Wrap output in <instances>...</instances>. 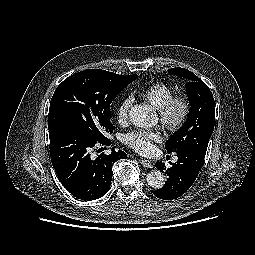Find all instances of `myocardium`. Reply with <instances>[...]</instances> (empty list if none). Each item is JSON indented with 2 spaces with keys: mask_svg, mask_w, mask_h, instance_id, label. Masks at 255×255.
<instances>
[{
  "mask_svg": "<svg viewBox=\"0 0 255 255\" xmlns=\"http://www.w3.org/2000/svg\"><path fill=\"white\" fill-rule=\"evenodd\" d=\"M191 102L185 95L173 96L159 109L160 122L170 132L180 131L188 121Z\"/></svg>",
  "mask_w": 255,
  "mask_h": 255,
  "instance_id": "myocardium-1",
  "label": "myocardium"
}]
</instances>
